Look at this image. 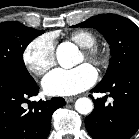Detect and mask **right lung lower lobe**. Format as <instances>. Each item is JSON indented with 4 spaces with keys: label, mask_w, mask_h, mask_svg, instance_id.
I'll return each mask as SVG.
<instances>
[{
    "label": "right lung lower lobe",
    "mask_w": 139,
    "mask_h": 139,
    "mask_svg": "<svg viewBox=\"0 0 139 139\" xmlns=\"http://www.w3.org/2000/svg\"><path fill=\"white\" fill-rule=\"evenodd\" d=\"M38 92L33 78L23 79L0 71V139L47 138L51 116L65 105V100L54 97L48 101L30 102L28 99Z\"/></svg>",
    "instance_id": "98d812e1"
}]
</instances>
